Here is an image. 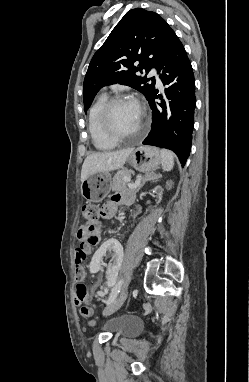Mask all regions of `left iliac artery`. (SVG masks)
<instances>
[{"mask_svg":"<svg viewBox=\"0 0 249 382\" xmlns=\"http://www.w3.org/2000/svg\"><path fill=\"white\" fill-rule=\"evenodd\" d=\"M122 284H123V280H120V281L115 285V287L112 288V291H111V293H110V296H109V298H108V300H107V302H106L107 304L112 303V302L116 299L118 293L120 292V289H121V287H122Z\"/></svg>","mask_w":249,"mask_h":382,"instance_id":"1","label":"left iliac artery"}]
</instances>
